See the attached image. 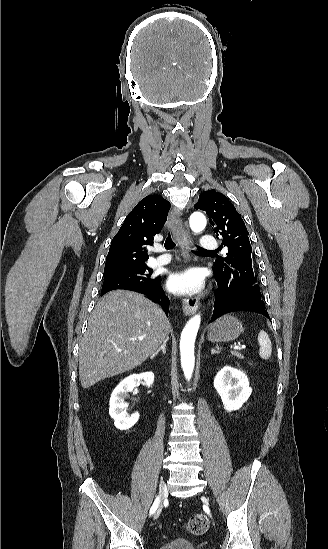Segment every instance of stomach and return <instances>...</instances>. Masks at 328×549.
<instances>
[{
  "mask_svg": "<svg viewBox=\"0 0 328 549\" xmlns=\"http://www.w3.org/2000/svg\"><path fill=\"white\" fill-rule=\"evenodd\" d=\"M243 333V325L233 315H223L212 323L208 329V339L211 343H228L234 341Z\"/></svg>",
  "mask_w": 328,
  "mask_h": 549,
  "instance_id": "obj_1",
  "label": "stomach"
}]
</instances>
